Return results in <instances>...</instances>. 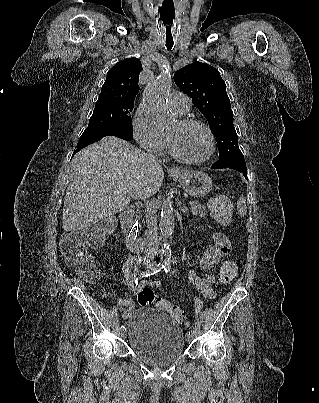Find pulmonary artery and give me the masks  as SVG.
Here are the masks:
<instances>
[{
	"mask_svg": "<svg viewBox=\"0 0 319 403\" xmlns=\"http://www.w3.org/2000/svg\"><path fill=\"white\" fill-rule=\"evenodd\" d=\"M170 108L178 115L185 114L190 109V99L186 95L174 92L169 99Z\"/></svg>",
	"mask_w": 319,
	"mask_h": 403,
	"instance_id": "e3ab8cb5",
	"label": "pulmonary artery"
}]
</instances>
